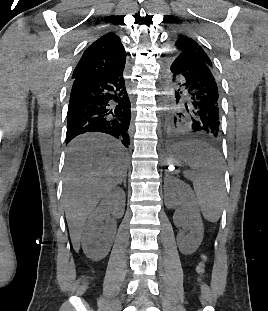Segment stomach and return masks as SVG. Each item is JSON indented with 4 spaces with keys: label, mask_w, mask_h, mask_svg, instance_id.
Here are the masks:
<instances>
[{
    "label": "stomach",
    "mask_w": 268,
    "mask_h": 311,
    "mask_svg": "<svg viewBox=\"0 0 268 311\" xmlns=\"http://www.w3.org/2000/svg\"><path fill=\"white\" fill-rule=\"evenodd\" d=\"M188 156V146L183 145L173 150L168 161L171 165L180 166L182 162H186L184 158H187Z\"/></svg>",
    "instance_id": "obj_1"
}]
</instances>
